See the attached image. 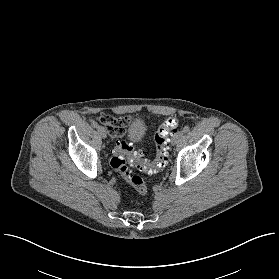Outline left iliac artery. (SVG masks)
<instances>
[{
  "label": "left iliac artery",
  "mask_w": 279,
  "mask_h": 279,
  "mask_svg": "<svg viewBox=\"0 0 279 279\" xmlns=\"http://www.w3.org/2000/svg\"><path fill=\"white\" fill-rule=\"evenodd\" d=\"M189 130H190L189 126H185V127L183 128V132H184V133L189 132Z\"/></svg>",
  "instance_id": "44dca946"
}]
</instances>
